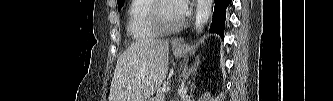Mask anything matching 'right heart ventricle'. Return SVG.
<instances>
[{
  "mask_svg": "<svg viewBox=\"0 0 333 101\" xmlns=\"http://www.w3.org/2000/svg\"><path fill=\"white\" fill-rule=\"evenodd\" d=\"M154 0H133L128 13V32L136 41H146L158 36L150 22Z\"/></svg>",
  "mask_w": 333,
  "mask_h": 101,
  "instance_id": "e07e8e85",
  "label": "right heart ventricle"
}]
</instances>
